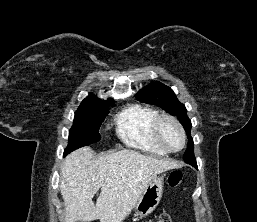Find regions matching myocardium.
Returning <instances> with one entry per match:
<instances>
[{"label": "myocardium", "instance_id": "1", "mask_svg": "<svg viewBox=\"0 0 257 222\" xmlns=\"http://www.w3.org/2000/svg\"><path fill=\"white\" fill-rule=\"evenodd\" d=\"M165 121H169L171 123H173L180 131L181 136H182V146L177 149V150H172L170 149L163 141L162 137H161V133H160V129H161V125L163 122ZM153 135L154 138L156 140V142L160 145V147L165 150L167 153H177L180 152L181 150H183L185 148L186 145V141H187V136H186V132L184 127L182 126V124L179 122V120L169 114H160L158 115V117L156 118L154 125H153Z\"/></svg>", "mask_w": 257, "mask_h": 222}]
</instances>
